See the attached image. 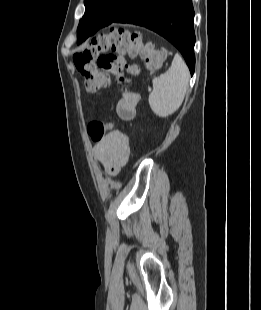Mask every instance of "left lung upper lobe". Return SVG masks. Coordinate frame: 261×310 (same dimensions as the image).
<instances>
[{
  "instance_id": "1",
  "label": "left lung upper lobe",
  "mask_w": 261,
  "mask_h": 310,
  "mask_svg": "<svg viewBox=\"0 0 261 310\" xmlns=\"http://www.w3.org/2000/svg\"><path fill=\"white\" fill-rule=\"evenodd\" d=\"M127 0H84L85 14L79 22L77 32L90 21H110L123 9Z\"/></svg>"
}]
</instances>
